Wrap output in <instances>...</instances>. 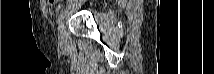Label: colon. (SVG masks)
<instances>
[{
	"instance_id": "colon-1",
	"label": "colon",
	"mask_w": 214,
	"mask_h": 74,
	"mask_svg": "<svg viewBox=\"0 0 214 74\" xmlns=\"http://www.w3.org/2000/svg\"><path fill=\"white\" fill-rule=\"evenodd\" d=\"M59 1L60 0H48L50 5H53V4H55V3L59 2Z\"/></svg>"
}]
</instances>
